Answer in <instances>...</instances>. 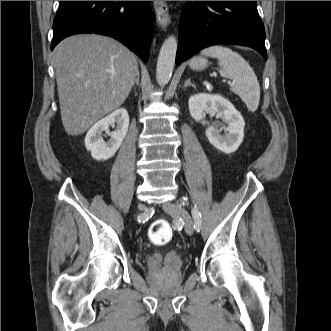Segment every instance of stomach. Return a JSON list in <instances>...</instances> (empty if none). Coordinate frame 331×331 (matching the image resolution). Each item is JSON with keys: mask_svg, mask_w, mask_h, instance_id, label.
Listing matches in <instances>:
<instances>
[{"mask_svg": "<svg viewBox=\"0 0 331 331\" xmlns=\"http://www.w3.org/2000/svg\"><path fill=\"white\" fill-rule=\"evenodd\" d=\"M207 64H208L207 59L201 56L194 57L189 62L190 68L198 71L206 68Z\"/></svg>", "mask_w": 331, "mask_h": 331, "instance_id": "obj_1", "label": "stomach"}]
</instances>
